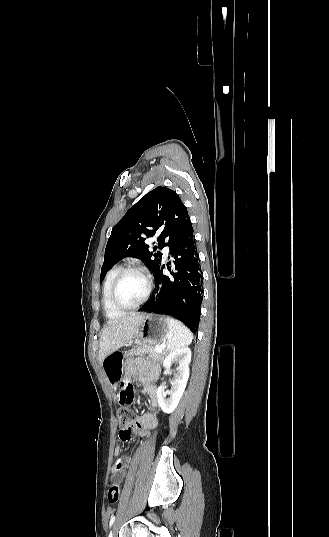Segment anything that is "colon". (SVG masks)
I'll return each mask as SVG.
<instances>
[{
	"label": "colon",
	"instance_id": "obj_1",
	"mask_svg": "<svg viewBox=\"0 0 329 537\" xmlns=\"http://www.w3.org/2000/svg\"><path fill=\"white\" fill-rule=\"evenodd\" d=\"M134 390V389H133ZM134 400V399H133ZM137 420L136 414L129 408H122L119 412V431L125 429L130 432ZM121 495V487L117 483H112L108 490V499L111 503H116Z\"/></svg>",
	"mask_w": 329,
	"mask_h": 537
}]
</instances>
